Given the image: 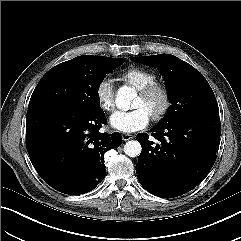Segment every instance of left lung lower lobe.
Wrapping results in <instances>:
<instances>
[{
  "label": "left lung lower lobe",
  "instance_id": "1",
  "mask_svg": "<svg viewBox=\"0 0 241 241\" xmlns=\"http://www.w3.org/2000/svg\"><path fill=\"white\" fill-rule=\"evenodd\" d=\"M219 118L188 117L169 125L155 126L152 136L140 133L142 146L136 165L140 184L150 193L173 198L191 191L209 173L219 148Z\"/></svg>",
  "mask_w": 241,
  "mask_h": 241
}]
</instances>
